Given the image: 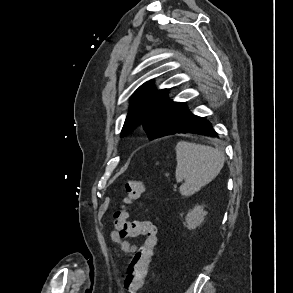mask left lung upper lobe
Segmentation results:
<instances>
[{"label": "left lung upper lobe", "mask_w": 293, "mask_h": 293, "mask_svg": "<svg viewBox=\"0 0 293 293\" xmlns=\"http://www.w3.org/2000/svg\"><path fill=\"white\" fill-rule=\"evenodd\" d=\"M167 91L155 90L151 82L140 86L131 100L121 137L136 126H143L149 139L167 135L187 110L184 103L169 100Z\"/></svg>", "instance_id": "obj_1"}]
</instances>
